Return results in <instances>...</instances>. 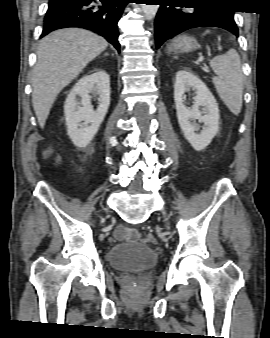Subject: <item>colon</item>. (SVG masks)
I'll list each match as a JSON object with an SVG mask.
<instances>
[{
    "label": "colon",
    "instance_id": "5ec220e1",
    "mask_svg": "<svg viewBox=\"0 0 270 338\" xmlns=\"http://www.w3.org/2000/svg\"><path fill=\"white\" fill-rule=\"evenodd\" d=\"M144 241H146V242H148V243H150V244H155V243H156V239H155V237H153V236H148V237H146V238L144 239Z\"/></svg>",
    "mask_w": 270,
    "mask_h": 338
}]
</instances>
